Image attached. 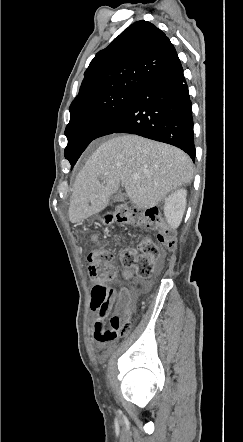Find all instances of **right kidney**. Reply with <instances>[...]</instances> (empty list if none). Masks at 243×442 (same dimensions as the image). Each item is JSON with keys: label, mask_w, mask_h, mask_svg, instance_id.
<instances>
[{"label": "right kidney", "mask_w": 243, "mask_h": 442, "mask_svg": "<svg viewBox=\"0 0 243 442\" xmlns=\"http://www.w3.org/2000/svg\"><path fill=\"white\" fill-rule=\"evenodd\" d=\"M186 195L185 189H179L165 199L164 214L168 224L173 228H177L182 221L186 208Z\"/></svg>", "instance_id": "ca27d5eb"}]
</instances>
